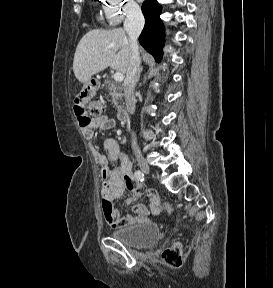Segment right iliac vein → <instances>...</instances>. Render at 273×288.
Wrapping results in <instances>:
<instances>
[{
	"mask_svg": "<svg viewBox=\"0 0 273 288\" xmlns=\"http://www.w3.org/2000/svg\"><path fill=\"white\" fill-rule=\"evenodd\" d=\"M138 165L140 167V169L144 172V173H149L150 172V166L147 163V161L143 158V157H139L137 159Z\"/></svg>",
	"mask_w": 273,
	"mask_h": 288,
	"instance_id": "obj_1",
	"label": "right iliac vein"
}]
</instances>
